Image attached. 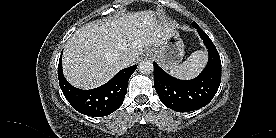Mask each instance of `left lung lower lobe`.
<instances>
[{"label": "left lung lower lobe", "instance_id": "obj_1", "mask_svg": "<svg viewBox=\"0 0 276 138\" xmlns=\"http://www.w3.org/2000/svg\"><path fill=\"white\" fill-rule=\"evenodd\" d=\"M203 39L209 60L199 76L180 80L164 72L155 62L154 85L162 103L177 112H190L206 106L215 96L221 82V60L218 51L199 25L192 23Z\"/></svg>", "mask_w": 276, "mask_h": 138}]
</instances>
